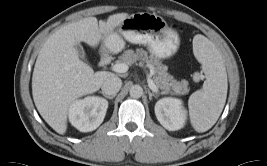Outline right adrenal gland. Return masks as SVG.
Returning <instances> with one entry per match:
<instances>
[{"label":"right adrenal gland","mask_w":267,"mask_h":166,"mask_svg":"<svg viewBox=\"0 0 267 166\" xmlns=\"http://www.w3.org/2000/svg\"><path fill=\"white\" fill-rule=\"evenodd\" d=\"M104 97H106L107 99H110V100H113V98L115 97L114 95L113 96H108V95H105L103 92H100Z\"/></svg>","instance_id":"1"}]
</instances>
